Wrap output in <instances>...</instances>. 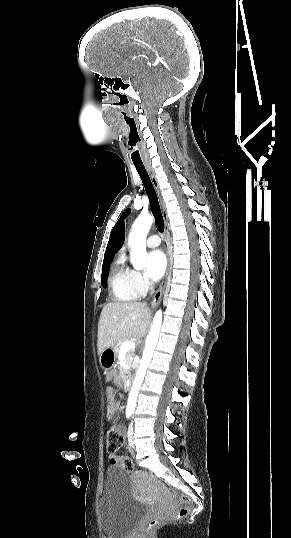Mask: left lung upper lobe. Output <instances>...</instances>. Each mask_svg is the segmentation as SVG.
<instances>
[{"instance_id":"left-lung-upper-lobe-1","label":"left lung upper lobe","mask_w":291,"mask_h":538,"mask_svg":"<svg viewBox=\"0 0 291 538\" xmlns=\"http://www.w3.org/2000/svg\"><path fill=\"white\" fill-rule=\"evenodd\" d=\"M130 213V209H126L125 212L121 215V217H125Z\"/></svg>"}]
</instances>
